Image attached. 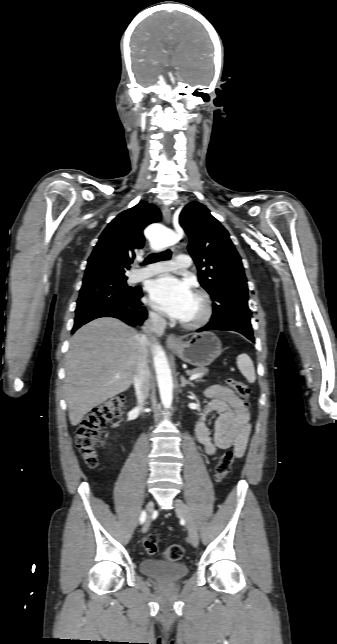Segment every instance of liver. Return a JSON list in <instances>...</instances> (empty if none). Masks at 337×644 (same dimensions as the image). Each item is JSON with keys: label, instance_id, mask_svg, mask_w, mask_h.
Segmentation results:
<instances>
[{"label": "liver", "instance_id": "liver-1", "mask_svg": "<svg viewBox=\"0 0 337 644\" xmlns=\"http://www.w3.org/2000/svg\"><path fill=\"white\" fill-rule=\"evenodd\" d=\"M141 351L140 335L115 318L95 319L75 332L65 357L64 385L72 426L131 386Z\"/></svg>", "mask_w": 337, "mask_h": 644}]
</instances>
